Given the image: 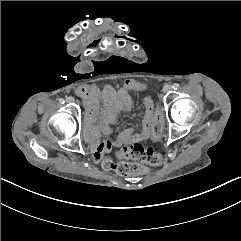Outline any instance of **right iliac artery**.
Masks as SVG:
<instances>
[{"label":"right iliac artery","instance_id":"obj_1","mask_svg":"<svg viewBox=\"0 0 241 241\" xmlns=\"http://www.w3.org/2000/svg\"><path fill=\"white\" fill-rule=\"evenodd\" d=\"M59 102H60L61 104H63L65 101H64V99L61 98V99L59 100Z\"/></svg>","mask_w":241,"mask_h":241}]
</instances>
